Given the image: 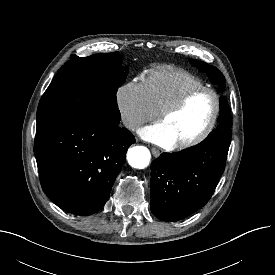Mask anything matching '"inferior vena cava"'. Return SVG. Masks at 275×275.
<instances>
[{"instance_id": "obj_1", "label": "inferior vena cava", "mask_w": 275, "mask_h": 275, "mask_svg": "<svg viewBox=\"0 0 275 275\" xmlns=\"http://www.w3.org/2000/svg\"><path fill=\"white\" fill-rule=\"evenodd\" d=\"M123 124L128 128H136L141 125V122L135 118L132 117H124L123 118Z\"/></svg>"}]
</instances>
